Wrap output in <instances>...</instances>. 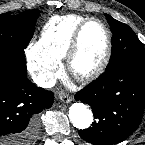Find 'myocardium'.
<instances>
[{
  "label": "myocardium",
  "mask_w": 145,
  "mask_h": 145,
  "mask_svg": "<svg viewBox=\"0 0 145 145\" xmlns=\"http://www.w3.org/2000/svg\"><path fill=\"white\" fill-rule=\"evenodd\" d=\"M91 23H97L102 27L105 37H106L105 51L103 53V56L100 62L96 65V67H94L93 69L85 73L78 74V73H75L73 69V64H74L75 58L77 57L80 51V42H81L83 31L86 28V26ZM112 50H113L112 36L107 25L100 19L88 18L85 21H83L74 32V35L72 37V40L70 42L69 48L65 56V63H64L65 70L69 75H71L73 78H75L79 82H82V83L91 82L97 79L98 77H100L104 73V71L107 69L111 60Z\"/></svg>",
  "instance_id": "obj_1"
}]
</instances>
